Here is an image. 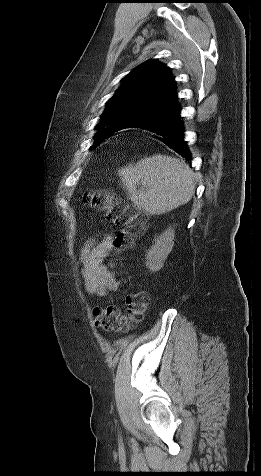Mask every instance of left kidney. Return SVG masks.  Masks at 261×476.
<instances>
[{
    "label": "left kidney",
    "mask_w": 261,
    "mask_h": 476,
    "mask_svg": "<svg viewBox=\"0 0 261 476\" xmlns=\"http://www.w3.org/2000/svg\"><path fill=\"white\" fill-rule=\"evenodd\" d=\"M174 229L168 228L157 239L146 254V266L152 271H159L174 245Z\"/></svg>",
    "instance_id": "1"
}]
</instances>
